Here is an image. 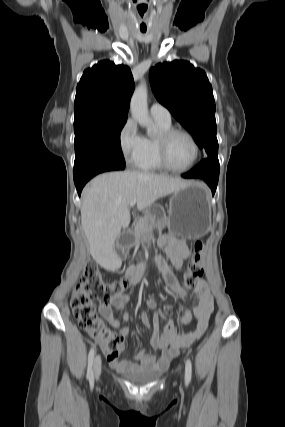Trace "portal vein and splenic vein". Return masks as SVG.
Masks as SVG:
<instances>
[{
	"mask_svg": "<svg viewBox=\"0 0 285 427\" xmlns=\"http://www.w3.org/2000/svg\"><path fill=\"white\" fill-rule=\"evenodd\" d=\"M136 202H137V198L135 197V198H133V199L130 201L129 206H130V207L134 206V205L136 204Z\"/></svg>",
	"mask_w": 285,
	"mask_h": 427,
	"instance_id": "portal-vein-and-splenic-vein-1",
	"label": "portal vein and splenic vein"
}]
</instances>
